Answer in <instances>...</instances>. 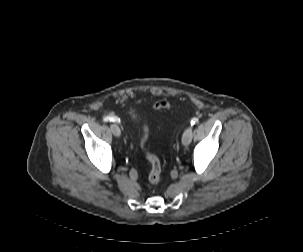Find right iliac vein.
Wrapping results in <instances>:
<instances>
[{
  "instance_id": "1",
  "label": "right iliac vein",
  "mask_w": 303,
  "mask_h": 252,
  "mask_svg": "<svg viewBox=\"0 0 303 252\" xmlns=\"http://www.w3.org/2000/svg\"><path fill=\"white\" fill-rule=\"evenodd\" d=\"M110 130L114 134V136H116V137L121 136V130H120V128L117 124H115V123L111 124L110 125Z\"/></svg>"
}]
</instances>
